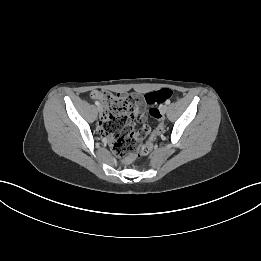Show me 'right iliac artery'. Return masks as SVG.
Masks as SVG:
<instances>
[{"label":"right iliac artery","instance_id":"82829eb1","mask_svg":"<svg viewBox=\"0 0 261 261\" xmlns=\"http://www.w3.org/2000/svg\"><path fill=\"white\" fill-rule=\"evenodd\" d=\"M95 104H96L97 106H99V105H100V103H99L98 101H96V102H95Z\"/></svg>","mask_w":261,"mask_h":261}]
</instances>
